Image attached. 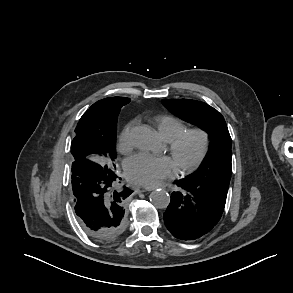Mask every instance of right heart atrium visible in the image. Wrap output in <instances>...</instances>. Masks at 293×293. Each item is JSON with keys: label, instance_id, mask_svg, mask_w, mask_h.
Returning <instances> with one entry per match:
<instances>
[{"label": "right heart atrium", "instance_id": "right-heart-atrium-1", "mask_svg": "<svg viewBox=\"0 0 293 293\" xmlns=\"http://www.w3.org/2000/svg\"><path fill=\"white\" fill-rule=\"evenodd\" d=\"M136 125L137 120H132L122 129L118 137V149L121 153H128L132 149L131 134Z\"/></svg>", "mask_w": 293, "mask_h": 293}]
</instances>
